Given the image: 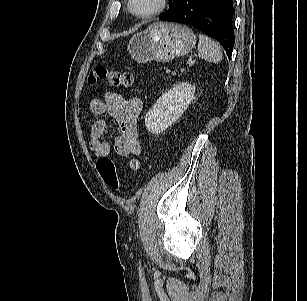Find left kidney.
I'll use <instances>...</instances> for the list:
<instances>
[{
    "instance_id": "5707ae66",
    "label": "left kidney",
    "mask_w": 307,
    "mask_h": 301,
    "mask_svg": "<svg viewBox=\"0 0 307 301\" xmlns=\"http://www.w3.org/2000/svg\"><path fill=\"white\" fill-rule=\"evenodd\" d=\"M195 86L180 82L164 93L147 112L146 129L152 134H160L181 117L194 98Z\"/></svg>"
}]
</instances>
